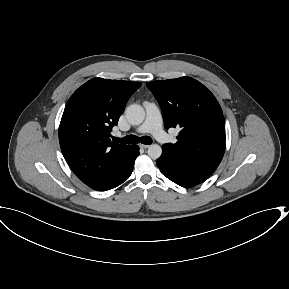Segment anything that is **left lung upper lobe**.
<instances>
[{
	"label": "left lung upper lobe",
	"instance_id": "1",
	"mask_svg": "<svg viewBox=\"0 0 289 289\" xmlns=\"http://www.w3.org/2000/svg\"><path fill=\"white\" fill-rule=\"evenodd\" d=\"M146 85L161 106L166 129H181L178 141L163 145V151L179 159L218 166L225 152V121L210 90L186 76Z\"/></svg>",
	"mask_w": 289,
	"mask_h": 289
}]
</instances>
